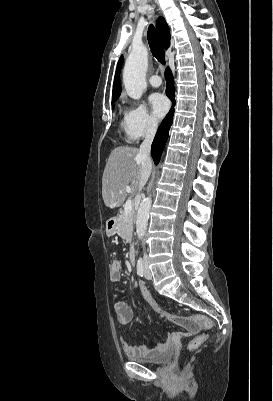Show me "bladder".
Here are the masks:
<instances>
[{
	"instance_id": "obj_1",
	"label": "bladder",
	"mask_w": 273,
	"mask_h": 401,
	"mask_svg": "<svg viewBox=\"0 0 273 401\" xmlns=\"http://www.w3.org/2000/svg\"><path fill=\"white\" fill-rule=\"evenodd\" d=\"M173 350L167 349L155 359H141L138 357L129 356V359L142 364H150L155 366H163L167 364L173 357Z\"/></svg>"
}]
</instances>
